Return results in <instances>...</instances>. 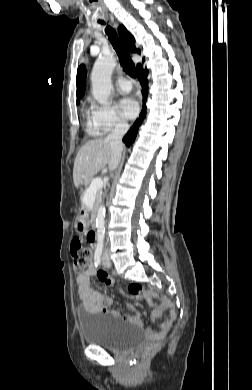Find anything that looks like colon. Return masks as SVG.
Wrapping results in <instances>:
<instances>
[{
	"label": "colon",
	"instance_id": "colon-1",
	"mask_svg": "<svg viewBox=\"0 0 252 390\" xmlns=\"http://www.w3.org/2000/svg\"><path fill=\"white\" fill-rule=\"evenodd\" d=\"M90 231L87 234V240L90 242ZM70 252L73 260V269L76 273H82L92 264V254L88 246L84 245L79 237H74L70 243ZM105 273V272H104ZM143 291L139 284L132 283L128 287L130 295H135ZM158 344L148 345L141 353V359H147L156 349Z\"/></svg>",
	"mask_w": 252,
	"mask_h": 390
}]
</instances>
